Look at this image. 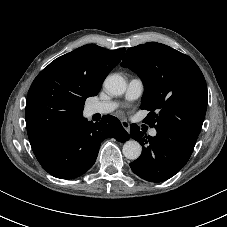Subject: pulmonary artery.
<instances>
[{
	"label": "pulmonary artery",
	"mask_w": 227,
	"mask_h": 227,
	"mask_svg": "<svg viewBox=\"0 0 227 227\" xmlns=\"http://www.w3.org/2000/svg\"><path fill=\"white\" fill-rule=\"evenodd\" d=\"M144 92V83L140 78H133L129 81L125 93V100L133 101L138 99ZM119 103L116 101H101L91 105L90 111L92 114H109L116 110ZM151 136H156V129L150 130Z\"/></svg>",
	"instance_id": "pulmonary-artery-1"
}]
</instances>
